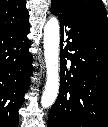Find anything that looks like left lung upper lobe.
I'll use <instances>...</instances> for the list:
<instances>
[{"label": "left lung upper lobe", "instance_id": "left-lung-upper-lobe-1", "mask_svg": "<svg viewBox=\"0 0 108 127\" xmlns=\"http://www.w3.org/2000/svg\"><path fill=\"white\" fill-rule=\"evenodd\" d=\"M79 10L99 15L108 23L107 12L101 0H67Z\"/></svg>", "mask_w": 108, "mask_h": 127}]
</instances>
